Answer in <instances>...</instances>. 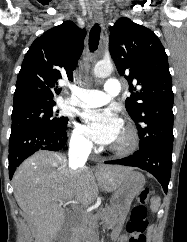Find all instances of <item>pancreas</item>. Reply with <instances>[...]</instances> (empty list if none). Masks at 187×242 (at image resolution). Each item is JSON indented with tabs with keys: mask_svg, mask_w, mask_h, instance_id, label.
Returning <instances> with one entry per match:
<instances>
[{
	"mask_svg": "<svg viewBox=\"0 0 187 242\" xmlns=\"http://www.w3.org/2000/svg\"><path fill=\"white\" fill-rule=\"evenodd\" d=\"M112 214V210L109 208H104L96 214H83L74 229L75 242H94L98 230V220L101 219L105 225L110 227L112 226Z\"/></svg>",
	"mask_w": 187,
	"mask_h": 242,
	"instance_id": "obj_1",
	"label": "pancreas"
}]
</instances>
